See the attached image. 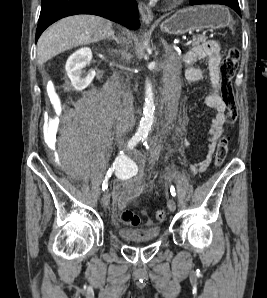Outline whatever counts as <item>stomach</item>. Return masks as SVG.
<instances>
[{"label": "stomach", "mask_w": 267, "mask_h": 298, "mask_svg": "<svg viewBox=\"0 0 267 298\" xmlns=\"http://www.w3.org/2000/svg\"><path fill=\"white\" fill-rule=\"evenodd\" d=\"M232 24L228 9L221 5H198L177 11L161 26V31L182 35L203 29H221Z\"/></svg>", "instance_id": "stomach-1"}]
</instances>
